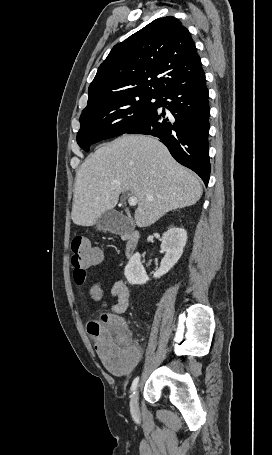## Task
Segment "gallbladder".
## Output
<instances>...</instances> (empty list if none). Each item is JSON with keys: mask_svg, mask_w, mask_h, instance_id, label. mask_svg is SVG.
<instances>
[{"mask_svg": "<svg viewBox=\"0 0 272 455\" xmlns=\"http://www.w3.org/2000/svg\"><path fill=\"white\" fill-rule=\"evenodd\" d=\"M100 231H109L116 234H128L134 230V224L128 217L115 211L104 212L96 223Z\"/></svg>", "mask_w": 272, "mask_h": 455, "instance_id": "obj_1", "label": "gallbladder"}]
</instances>
